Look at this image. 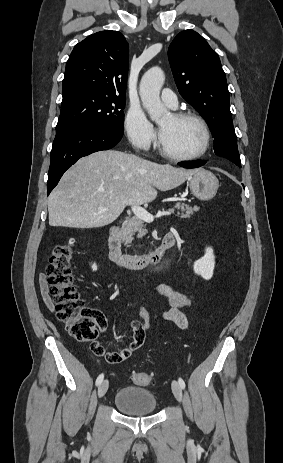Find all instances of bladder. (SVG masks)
<instances>
[{
  "label": "bladder",
  "instance_id": "1",
  "mask_svg": "<svg viewBox=\"0 0 283 463\" xmlns=\"http://www.w3.org/2000/svg\"><path fill=\"white\" fill-rule=\"evenodd\" d=\"M114 405L123 414L129 416H144L157 411L156 396L142 387L124 386L114 397Z\"/></svg>",
  "mask_w": 283,
  "mask_h": 463
}]
</instances>
